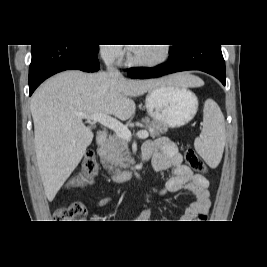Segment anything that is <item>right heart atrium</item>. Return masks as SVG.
<instances>
[{
    "mask_svg": "<svg viewBox=\"0 0 267 267\" xmlns=\"http://www.w3.org/2000/svg\"><path fill=\"white\" fill-rule=\"evenodd\" d=\"M101 54L104 59L109 61H117L123 55V49L120 46H101Z\"/></svg>",
    "mask_w": 267,
    "mask_h": 267,
    "instance_id": "1",
    "label": "right heart atrium"
}]
</instances>
